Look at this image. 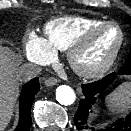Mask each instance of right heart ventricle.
<instances>
[{"label": "right heart ventricle", "instance_id": "1", "mask_svg": "<svg viewBox=\"0 0 131 131\" xmlns=\"http://www.w3.org/2000/svg\"><path fill=\"white\" fill-rule=\"evenodd\" d=\"M104 22L84 16H63L48 21L44 26L45 41L56 52H66L88 29Z\"/></svg>", "mask_w": 131, "mask_h": 131}]
</instances>
